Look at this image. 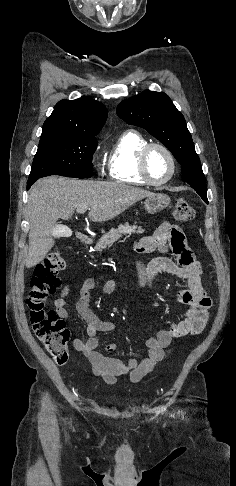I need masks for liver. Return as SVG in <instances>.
<instances>
[{"label":"liver","instance_id":"6515ba94","mask_svg":"<svg viewBox=\"0 0 236 486\" xmlns=\"http://www.w3.org/2000/svg\"><path fill=\"white\" fill-rule=\"evenodd\" d=\"M153 193L121 183L78 180L51 176L39 179L30 189L28 215L30 221L27 268L41 262L54 245L58 219L68 220L81 208L89 209L93 222L111 220L134 203Z\"/></svg>","mask_w":236,"mask_h":486}]
</instances>
